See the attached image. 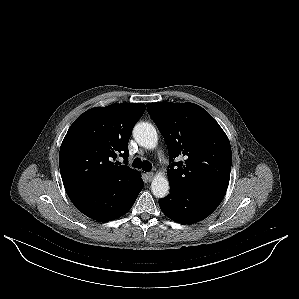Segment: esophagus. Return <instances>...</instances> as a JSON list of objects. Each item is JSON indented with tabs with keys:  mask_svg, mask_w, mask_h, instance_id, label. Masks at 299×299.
Returning <instances> with one entry per match:
<instances>
[{
	"mask_svg": "<svg viewBox=\"0 0 299 299\" xmlns=\"http://www.w3.org/2000/svg\"><path fill=\"white\" fill-rule=\"evenodd\" d=\"M146 177H147V180H148V181H151V180L153 179V177H154V173H152V172H147V173H146Z\"/></svg>",
	"mask_w": 299,
	"mask_h": 299,
	"instance_id": "1",
	"label": "esophagus"
}]
</instances>
